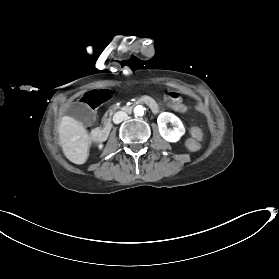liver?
<instances>
[{
  "mask_svg": "<svg viewBox=\"0 0 279 279\" xmlns=\"http://www.w3.org/2000/svg\"><path fill=\"white\" fill-rule=\"evenodd\" d=\"M59 139L66 158L82 165L87 160L90 138L83 124L71 116H63L59 125Z\"/></svg>",
  "mask_w": 279,
  "mask_h": 279,
  "instance_id": "1",
  "label": "liver"
}]
</instances>
